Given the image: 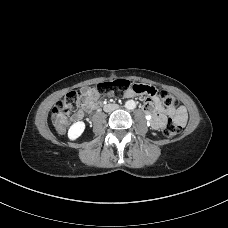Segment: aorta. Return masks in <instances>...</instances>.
I'll return each mask as SVG.
<instances>
[{
    "instance_id": "762f6f07",
    "label": "aorta",
    "mask_w": 228,
    "mask_h": 228,
    "mask_svg": "<svg viewBox=\"0 0 228 228\" xmlns=\"http://www.w3.org/2000/svg\"><path fill=\"white\" fill-rule=\"evenodd\" d=\"M125 107L129 110H133L136 108V102L134 100H128L125 103Z\"/></svg>"
}]
</instances>
